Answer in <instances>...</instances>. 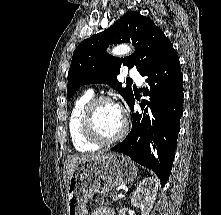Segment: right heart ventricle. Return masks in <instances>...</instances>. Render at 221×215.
<instances>
[{"instance_id": "1", "label": "right heart ventricle", "mask_w": 221, "mask_h": 215, "mask_svg": "<svg viewBox=\"0 0 221 215\" xmlns=\"http://www.w3.org/2000/svg\"><path fill=\"white\" fill-rule=\"evenodd\" d=\"M92 99V93L85 92L75 99L68 118V131L73 147L79 152H91L98 148V144L87 140L80 128V117L85 104Z\"/></svg>"}]
</instances>
